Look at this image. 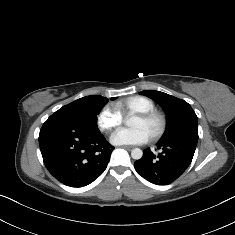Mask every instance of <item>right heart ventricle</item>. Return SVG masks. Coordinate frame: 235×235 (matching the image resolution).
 <instances>
[{"label":"right heart ventricle","instance_id":"e07e8e85","mask_svg":"<svg viewBox=\"0 0 235 235\" xmlns=\"http://www.w3.org/2000/svg\"><path fill=\"white\" fill-rule=\"evenodd\" d=\"M116 108L120 114L146 113L155 109L152 99L145 96H131L116 103Z\"/></svg>","mask_w":235,"mask_h":235}]
</instances>
